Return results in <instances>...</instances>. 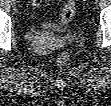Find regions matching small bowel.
<instances>
[{
    "label": "small bowel",
    "instance_id": "obj_1",
    "mask_svg": "<svg viewBox=\"0 0 111 106\" xmlns=\"http://www.w3.org/2000/svg\"><path fill=\"white\" fill-rule=\"evenodd\" d=\"M37 3H38L37 1H34V2H33V4H37Z\"/></svg>",
    "mask_w": 111,
    "mask_h": 106
}]
</instances>
